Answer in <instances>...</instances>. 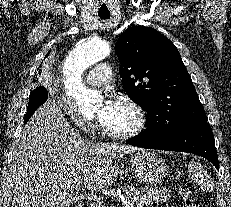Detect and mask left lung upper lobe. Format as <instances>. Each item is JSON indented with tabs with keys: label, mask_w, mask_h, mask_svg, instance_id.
<instances>
[{
	"label": "left lung upper lobe",
	"mask_w": 231,
	"mask_h": 207,
	"mask_svg": "<svg viewBox=\"0 0 231 207\" xmlns=\"http://www.w3.org/2000/svg\"><path fill=\"white\" fill-rule=\"evenodd\" d=\"M115 53L123 89L147 111L143 136L164 139L207 123L192 79L168 38L152 28L136 26L121 34Z\"/></svg>",
	"instance_id": "1"
}]
</instances>
